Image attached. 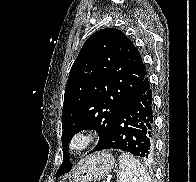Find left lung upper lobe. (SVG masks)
Instances as JSON below:
<instances>
[{
	"label": "left lung upper lobe",
	"mask_w": 196,
	"mask_h": 182,
	"mask_svg": "<svg viewBox=\"0 0 196 182\" xmlns=\"http://www.w3.org/2000/svg\"><path fill=\"white\" fill-rule=\"evenodd\" d=\"M147 75L133 42L115 28L101 29L84 43L70 70L62 110L63 163L56 178L71 170L68 144L81 130L98 132L99 147L131 95ZM94 148V149H95Z\"/></svg>",
	"instance_id": "5c2ea615"
}]
</instances>
